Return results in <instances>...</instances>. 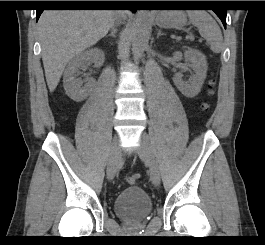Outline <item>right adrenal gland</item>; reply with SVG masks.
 Listing matches in <instances>:
<instances>
[{"label":"right adrenal gland","instance_id":"obj_1","mask_svg":"<svg viewBox=\"0 0 265 245\" xmlns=\"http://www.w3.org/2000/svg\"><path fill=\"white\" fill-rule=\"evenodd\" d=\"M108 37L116 38V30L114 28L111 30V33L109 35L105 36V38H108Z\"/></svg>","mask_w":265,"mask_h":245}]
</instances>
